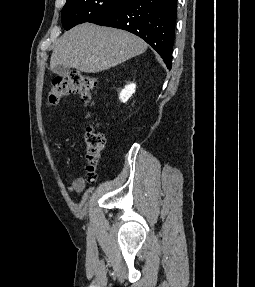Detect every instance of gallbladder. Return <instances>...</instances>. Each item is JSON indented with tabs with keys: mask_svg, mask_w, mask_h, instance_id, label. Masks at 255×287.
<instances>
[{
	"mask_svg": "<svg viewBox=\"0 0 255 287\" xmlns=\"http://www.w3.org/2000/svg\"><path fill=\"white\" fill-rule=\"evenodd\" d=\"M69 70L70 68H68V66H54L52 72L60 76V78H66L69 74Z\"/></svg>",
	"mask_w": 255,
	"mask_h": 287,
	"instance_id": "gallbladder-1",
	"label": "gallbladder"
}]
</instances>
